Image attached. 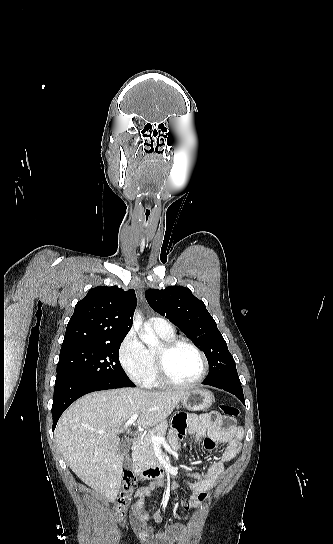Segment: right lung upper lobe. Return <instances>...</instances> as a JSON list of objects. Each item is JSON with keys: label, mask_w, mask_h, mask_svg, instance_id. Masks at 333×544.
I'll use <instances>...</instances> for the list:
<instances>
[{"label": "right lung upper lobe", "mask_w": 333, "mask_h": 544, "mask_svg": "<svg viewBox=\"0 0 333 544\" xmlns=\"http://www.w3.org/2000/svg\"><path fill=\"white\" fill-rule=\"evenodd\" d=\"M137 300L135 291L98 286L80 300L67 324L62 348L112 341L129 332Z\"/></svg>", "instance_id": "1"}]
</instances>
